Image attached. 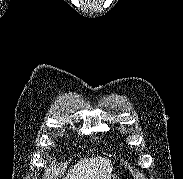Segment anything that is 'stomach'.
Masks as SVG:
<instances>
[{"instance_id": "0dacf381", "label": "stomach", "mask_w": 183, "mask_h": 179, "mask_svg": "<svg viewBox=\"0 0 183 179\" xmlns=\"http://www.w3.org/2000/svg\"><path fill=\"white\" fill-rule=\"evenodd\" d=\"M110 179H119V178H118L117 174H112Z\"/></svg>"}]
</instances>
